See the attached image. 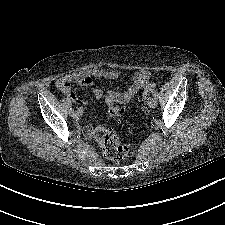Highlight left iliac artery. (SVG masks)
<instances>
[{"label":"left iliac artery","instance_id":"1","mask_svg":"<svg viewBox=\"0 0 225 225\" xmlns=\"http://www.w3.org/2000/svg\"><path fill=\"white\" fill-rule=\"evenodd\" d=\"M153 97L158 98V93L154 92Z\"/></svg>","mask_w":225,"mask_h":225}]
</instances>
